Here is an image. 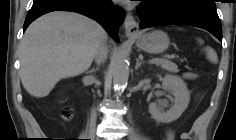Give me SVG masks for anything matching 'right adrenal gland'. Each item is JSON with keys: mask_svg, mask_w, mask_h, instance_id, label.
<instances>
[{"mask_svg": "<svg viewBox=\"0 0 236 140\" xmlns=\"http://www.w3.org/2000/svg\"><path fill=\"white\" fill-rule=\"evenodd\" d=\"M99 65H100V63L97 64L96 68H93L91 71H89V73L96 72L99 69Z\"/></svg>", "mask_w": 236, "mask_h": 140, "instance_id": "obj_1", "label": "right adrenal gland"}]
</instances>
